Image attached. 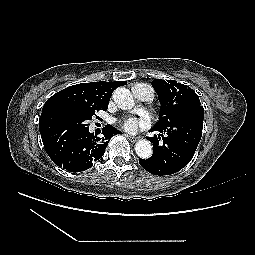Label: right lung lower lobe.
<instances>
[{"label":"right lung lower lobe","mask_w":255,"mask_h":255,"mask_svg":"<svg viewBox=\"0 0 255 255\" xmlns=\"http://www.w3.org/2000/svg\"><path fill=\"white\" fill-rule=\"evenodd\" d=\"M40 133L44 148L51 160L59 167L71 172H80L89 169L105 152L110 137L120 133L111 125L102 129V136L97 137L89 132V128L76 137L63 141L47 129Z\"/></svg>","instance_id":"obj_1"}]
</instances>
